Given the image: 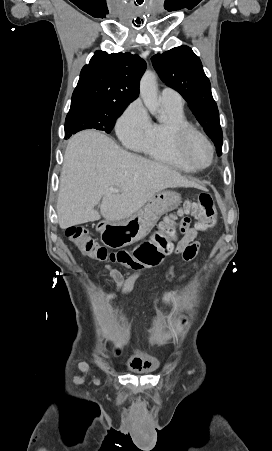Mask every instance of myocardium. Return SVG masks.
Segmentation results:
<instances>
[{"label": "myocardium", "mask_w": 272, "mask_h": 451, "mask_svg": "<svg viewBox=\"0 0 272 451\" xmlns=\"http://www.w3.org/2000/svg\"><path fill=\"white\" fill-rule=\"evenodd\" d=\"M170 140L175 144L178 158L182 169L186 172L195 173L202 169L192 166L188 159V149L193 140H198L209 154V162L206 167L214 163V148L207 137L197 129L183 123H173L168 132Z\"/></svg>", "instance_id": "1"}]
</instances>
